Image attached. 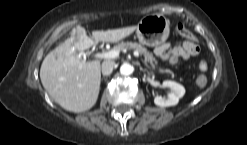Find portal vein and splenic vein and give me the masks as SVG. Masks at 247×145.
<instances>
[{"label": "portal vein and splenic vein", "mask_w": 247, "mask_h": 145, "mask_svg": "<svg viewBox=\"0 0 247 145\" xmlns=\"http://www.w3.org/2000/svg\"><path fill=\"white\" fill-rule=\"evenodd\" d=\"M120 51L118 50H111L108 52H104V53H97L96 57L97 58H101V59H114L117 58L119 56ZM134 56L136 57H140V54L138 51H134Z\"/></svg>", "instance_id": "portal-vein-and-splenic-vein-1"}]
</instances>
